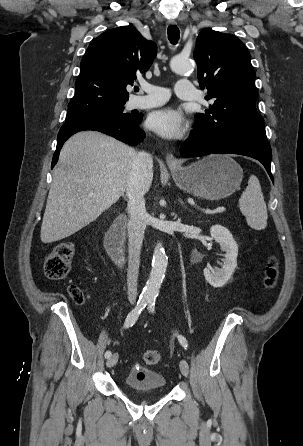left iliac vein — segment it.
<instances>
[{
    "label": "left iliac vein",
    "instance_id": "1",
    "mask_svg": "<svg viewBox=\"0 0 303 446\" xmlns=\"http://www.w3.org/2000/svg\"><path fill=\"white\" fill-rule=\"evenodd\" d=\"M181 373L187 377L189 374V365L186 360L182 359L179 363Z\"/></svg>",
    "mask_w": 303,
    "mask_h": 446
}]
</instances>
